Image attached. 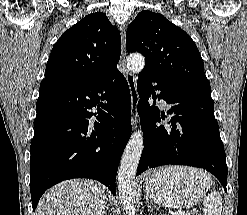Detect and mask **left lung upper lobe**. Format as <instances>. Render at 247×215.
<instances>
[{
  "label": "left lung upper lobe",
  "instance_id": "1",
  "mask_svg": "<svg viewBox=\"0 0 247 215\" xmlns=\"http://www.w3.org/2000/svg\"><path fill=\"white\" fill-rule=\"evenodd\" d=\"M128 52L145 56L143 71L169 83L210 94L204 63L191 37L163 15L140 12L126 32Z\"/></svg>",
  "mask_w": 247,
  "mask_h": 215
}]
</instances>
